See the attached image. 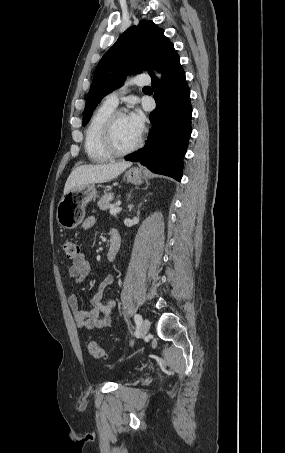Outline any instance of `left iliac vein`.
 <instances>
[{
	"label": "left iliac vein",
	"mask_w": 285,
	"mask_h": 453,
	"mask_svg": "<svg viewBox=\"0 0 285 453\" xmlns=\"http://www.w3.org/2000/svg\"><path fill=\"white\" fill-rule=\"evenodd\" d=\"M150 328V321L148 319H144L142 321L141 327H140V335L143 337L145 336Z\"/></svg>",
	"instance_id": "4c4485c4"
}]
</instances>
